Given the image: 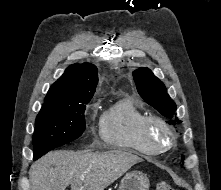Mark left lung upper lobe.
<instances>
[{"label": "left lung upper lobe", "instance_id": "1", "mask_svg": "<svg viewBox=\"0 0 221 190\" xmlns=\"http://www.w3.org/2000/svg\"><path fill=\"white\" fill-rule=\"evenodd\" d=\"M133 78L139 95L163 116L172 118L176 111V104L167 94L164 84L152 71L141 67L133 72ZM176 121L181 122L178 119Z\"/></svg>", "mask_w": 221, "mask_h": 190}]
</instances>
